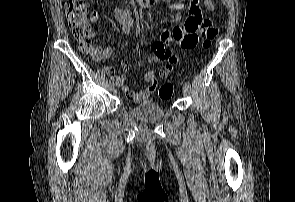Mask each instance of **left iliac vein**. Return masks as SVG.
Returning a JSON list of instances; mask_svg holds the SVG:
<instances>
[{
  "label": "left iliac vein",
  "mask_w": 295,
  "mask_h": 202,
  "mask_svg": "<svg viewBox=\"0 0 295 202\" xmlns=\"http://www.w3.org/2000/svg\"><path fill=\"white\" fill-rule=\"evenodd\" d=\"M182 92L185 96H188L190 94V87L184 85L182 88Z\"/></svg>",
  "instance_id": "1"
}]
</instances>
